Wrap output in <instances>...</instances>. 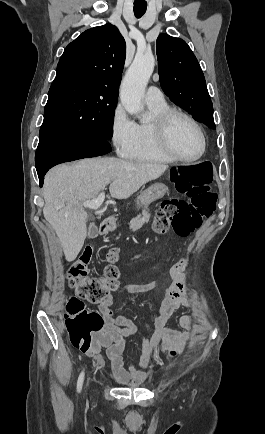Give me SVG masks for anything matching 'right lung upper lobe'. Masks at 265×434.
<instances>
[{
    "label": "right lung upper lobe",
    "mask_w": 265,
    "mask_h": 434,
    "mask_svg": "<svg viewBox=\"0 0 265 434\" xmlns=\"http://www.w3.org/2000/svg\"><path fill=\"white\" fill-rule=\"evenodd\" d=\"M125 53V40L116 26L86 30L65 48L54 81L89 79L118 90Z\"/></svg>",
    "instance_id": "obj_1"
}]
</instances>
